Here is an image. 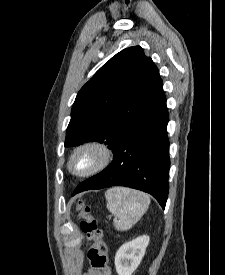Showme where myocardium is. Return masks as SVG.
Wrapping results in <instances>:
<instances>
[{
    "label": "myocardium",
    "mask_w": 225,
    "mask_h": 275,
    "mask_svg": "<svg viewBox=\"0 0 225 275\" xmlns=\"http://www.w3.org/2000/svg\"><path fill=\"white\" fill-rule=\"evenodd\" d=\"M82 157H88L90 162L78 168L75 164ZM111 160L112 154L107 146L98 142H86L73 150L69 156L67 167L73 175L85 177L101 172L111 163Z\"/></svg>",
    "instance_id": "1"
}]
</instances>
